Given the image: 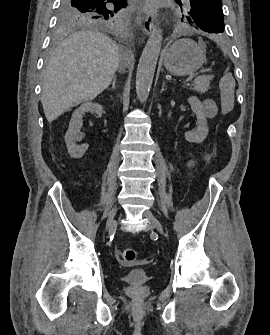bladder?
I'll return each mask as SVG.
<instances>
[{
	"mask_svg": "<svg viewBox=\"0 0 270 335\" xmlns=\"http://www.w3.org/2000/svg\"><path fill=\"white\" fill-rule=\"evenodd\" d=\"M125 280L129 283V286L143 285L147 280V269L136 268L129 270L125 273Z\"/></svg>",
	"mask_w": 270,
	"mask_h": 335,
	"instance_id": "bladder-1",
	"label": "bladder"
}]
</instances>
